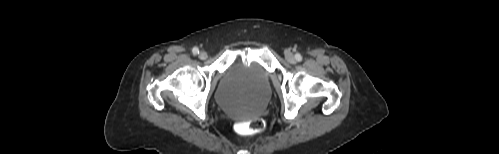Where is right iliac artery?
<instances>
[{
    "instance_id": "right-iliac-artery-1",
    "label": "right iliac artery",
    "mask_w": 499,
    "mask_h": 154,
    "mask_svg": "<svg viewBox=\"0 0 499 154\" xmlns=\"http://www.w3.org/2000/svg\"><path fill=\"white\" fill-rule=\"evenodd\" d=\"M192 53H193L194 55L199 54V49H198L197 47H194V48L192 49Z\"/></svg>"
}]
</instances>
